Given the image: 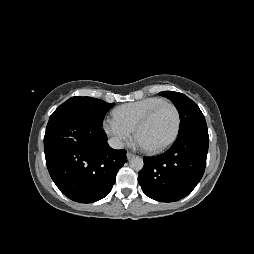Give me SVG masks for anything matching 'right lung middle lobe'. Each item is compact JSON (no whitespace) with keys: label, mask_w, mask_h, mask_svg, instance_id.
<instances>
[{"label":"right lung middle lobe","mask_w":254,"mask_h":254,"mask_svg":"<svg viewBox=\"0 0 254 254\" xmlns=\"http://www.w3.org/2000/svg\"><path fill=\"white\" fill-rule=\"evenodd\" d=\"M114 106L92 97H72L61 104L50 119L71 115L102 126L105 114Z\"/></svg>","instance_id":"dd1d6c3e"}]
</instances>
